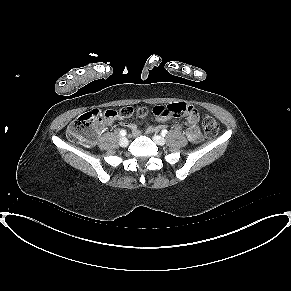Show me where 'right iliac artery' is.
Masks as SVG:
<instances>
[{"label":"right iliac artery","mask_w":291,"mask_h":291,"mask_svg":"<svg viewBox=\"0 0 291 291\" xmlns=\"http://www.w3.org/2000/svg\"><path fill=\"white\" fill-rule=\"evenodd\" d=\"M120 135H121V136H125V135H126V131H125V130H121V131H120Z\"/></svg>","instance_id":"82829eb1"}]
</instances>
